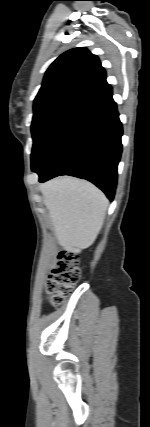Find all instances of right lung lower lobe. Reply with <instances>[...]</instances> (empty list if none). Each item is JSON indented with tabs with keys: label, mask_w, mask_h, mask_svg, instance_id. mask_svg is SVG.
Returning a JSON list of instances; mask_svg holds the SVG:
<instances>
[{
	"label": "right lung lower lobe",
	"mask_w": 150,
	"mask_h": 427,
	"mask_svg": "<svg viewBox=\"0 0 150 427\" xmlns=\"http://www.w3.org/2000/svg\"><path fill=\"white\" fill-rule=\"evenodd\" d=\"M122 125L112 90L79 112L54 141L36 173L45 182L59 175L91 181L112 200L122 152Z\"/></svg>",
	"instance_id": "98d812e1"
}]
</instances>
